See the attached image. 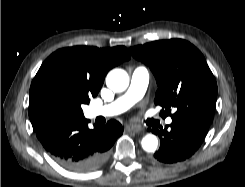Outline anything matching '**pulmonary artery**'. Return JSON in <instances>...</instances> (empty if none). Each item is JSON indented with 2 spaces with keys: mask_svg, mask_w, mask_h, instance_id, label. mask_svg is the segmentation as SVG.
Segmentation results:
<instances>
[{
  "mask_svg": "<svg viewBox=\"0 0 245 187\" xmlns=\"http://www.w3.org/2000/svg\"><path fill=\"white\" fill-rule=\"evenodd\" d=\"M149 84V72L144 66L135 68L131 75L130 85L125 94L117 98L114 102L101 106L92 107L89 110L90 117H110L118 115L129 109L134 103L140 100L146 92ZM168 124L172 122L171 118L166 120Z\"/></svg>",
  "mask_w": 245,
  "mask_h": 187,
  "instance_id": "pulmonary-artery-1",
  "label": "pulmonary artery"
}]
</instances>
